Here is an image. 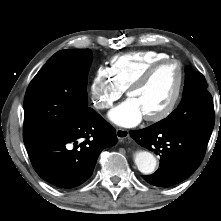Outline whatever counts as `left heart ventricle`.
Segmentation results:
<instances>
[{"mask_svg":"<svg viewBox=\"0 0 221 221\" xmlns=\"http://www.w3.org/2000/svg\"><path fill=\"white\" fill-rule=\"evenodd\" d=\"M179 79L178 69L168 64L159 69L142 88L133 91L130 98L139 104L144 116L162 111L171 101Z\"/></svg>","mask_w":221,"mask_h":221,"instance_id":"b2bd125f","label":"left heart ventricle"}]
</instances>
